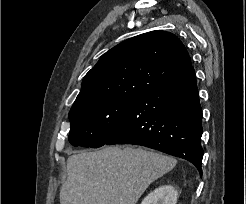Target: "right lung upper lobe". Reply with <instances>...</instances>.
I'll use <instances>...</instances> for the list:
<instances>
[{
	"instance_id": "1",
	"label": "right lung upper lobe",
	"mask_w": 246,
	"mask_h": 204,
	"mask_svg": "<svg viewBox=\"0 0 246 204\" xmlns=\"http://www.w3.org/2000/svg\"><path fill=\"white\" fill-rule=\"evenodd\" d=\"M189 67L190 57L177 36L162 30L147 32L103 54L83 78L74 104L106 96L140 95Z\"/></svg>"
}]
</instances>
